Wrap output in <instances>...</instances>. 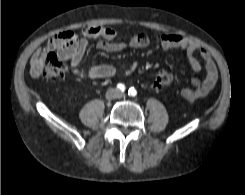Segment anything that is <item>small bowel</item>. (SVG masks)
Here are the masks:
<instances>
[{"label": "small bowel", "instance_id": "small-bowel-1", "mask_svg": "<svg viewBox=\"0 0 245 195\" xmlns=\"http://www.w3.org/2000/svg\"><path fill=\"white\" fill-rule=\"evenodd\" d=\"M117 32L113 28L105 26H89L82 30V36L72 31L59 33L52 38L44 48L38 49L31 58L30 73L32 77H38L43 69L46 56L57 52L60 59L69 60L74 74L89 78L100 79L115 76L118 72L114 65H99L83 68L81 61L88 46L89 38H99L97 47L106 52L122 51L127 47L145 48L149 44V38L145 33L134 35L128 42H116ZM161 46L165 50L180 49L185 51L189 64L193 71L201 70V64L195 54L199 53L204 61L205 77L202 80L192 79L191 87L181 91V97L187 102H193L206 96L215 86L218 78L217 66L207 49L197 42L178 34L166 33L161 36ZM137 63L132 62L124 73L129 75L135 71Z\"/></svg>", "mask_w": 245, "mask_h": 195}]
</instances>
